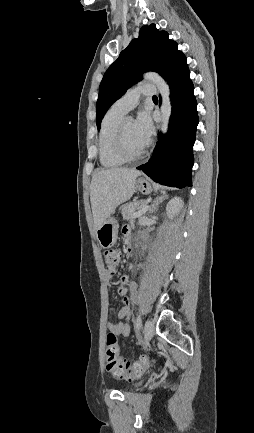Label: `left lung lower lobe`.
<instances>
[{
    "mask_svg": "<svg viewBox=\"0 0 254 433\" xmlns=\"http://www.w3.org/2000/svg\"><path fill=\"white\" fill-rule=\"evenodd\" d=\"M165 80L172 103L169 131L166 135L159 134L152 157L137 169L155 182L184 188L191 186L192 149L198 125L194 87L184 54L171 67Z\"/></svg>",
    "mask_w": 254,
    "mask_h": 433,
    "instance_id": "left-lung-lower-lobe-1",
    "label": "left lung lower lobe"
}]
</instances>
